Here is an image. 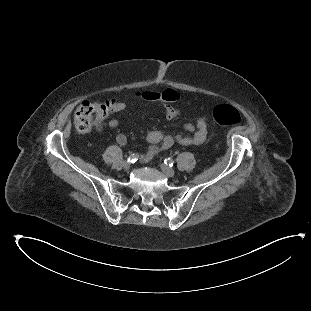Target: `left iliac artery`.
<instances>
[{"label": "left iliac artery", "instance_id": "left-iliac-artery-1", "mask_svg": "<svg viewBox=\"0 0 311 311\" xmlns=\"http://www.w3.org/2000/svg\"><path fill=\"white\" fill-rule=\"evenodd\" d=\"M164 163L166 165L173 166L174 165V160L172 158L168 157V158H165Z\"/></svg>", "mask_w": 311, "mask_h": 311}]
</instances>
